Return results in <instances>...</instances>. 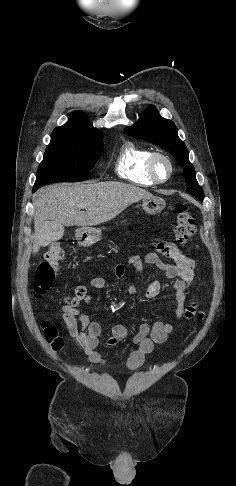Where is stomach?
I'll use <instances>...</instances> for the list:
<instances>
[{"label": "stomach", "mask_w": 236, "mask_h": 486, "mask_svg": "<svg viewBox=\"0 0 236 486\" xmlns=\"http://www.w3.org/2000/svg\"><path fill=\"white\" fill-rule=\"evenodd\" d=\"M165 201L160 197H151L143 200V210L150 214L155 215L160 213L165 208ZM101 230L93 227H82L76 230L75 236L79 245L89 247L101 239Z\"/></svg>", "instance_id": "1"}]
</instances>
